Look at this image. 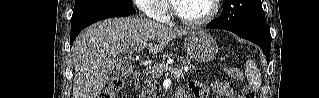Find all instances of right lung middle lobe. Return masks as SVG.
I'll return each mask as SVG.
<instances>
[{
  "label": "right lung middle lobe",
  "mask_w": 319,
  "mask_h": 98,
  "mask_svg": "<svg viewBox=\"0 0 319 98\" xmlns=\"http://www.w3.org/2000/svg\"><path fill=\"white\" fill-rule=\"evenodd\" d=\"M102 5L133 7L132 0H75L74 10Z\"/></svg>",
  "instance_id": "obj_1"
}]
</instances>
